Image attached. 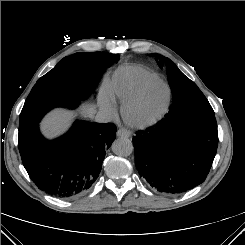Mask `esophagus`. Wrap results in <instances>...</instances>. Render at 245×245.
Masks as SVG:
<instances>
[{"mask_svg": "<svg viewBox=\"0 0 245 245\" xmlns=\"http://www.w3.org/2000/svg\"><path fill=\"white\" fill-rule=\"evenodd\" d=\"M116 134H117L118 137H123V138L130 137V132L127 129H125V128L118 129Z\"/></svg>", "mask_w": 245, "mask_h": 245, "instance_id": "34e87169", "label": "esophagus"}]
</instances>
